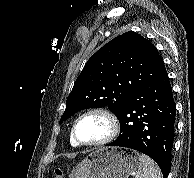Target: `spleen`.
I'll return each instance as SVG.
<instances>
[{
	"mask_svg": "<svg viewBox=\"0 0 194 178\" xmlns=\"http://www.w3.org/2000/svg\"><path fill=\"white\" fill-rule=\"evenodd\" d=\"M135 178H161L158 165L147 155L140 156V169L135 174Z\"/></svg>",
	"mask_w": 194,
	"mask_h": 178,
	"instance_id": "1",
	"label": "spleen"
}]
</instances>
